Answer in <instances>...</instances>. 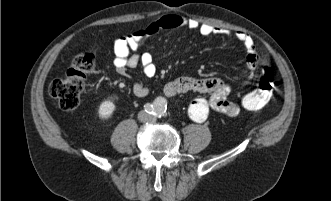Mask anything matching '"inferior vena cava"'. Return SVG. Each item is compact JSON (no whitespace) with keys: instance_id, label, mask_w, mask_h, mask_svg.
Returning a JSON list of instances; mask_svg holds the SVG:
<instances>
[{"instance_id":"1","label":"inferior vena cava","mask_w":331,"mask_h":201,"mask_svg":"<svg viewBox=\"0 0 331 201\" xmlns=\"http://www.w3.org/2000/svg\"><path fill=\"white\" fill-rule=\"evenodd\" d=\"M138 119L141 122H154L155 121V117L145 111H140L138 114Z\"/></svg>"}]
</instances>
